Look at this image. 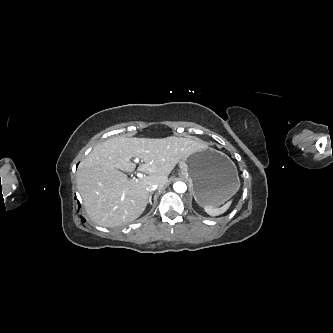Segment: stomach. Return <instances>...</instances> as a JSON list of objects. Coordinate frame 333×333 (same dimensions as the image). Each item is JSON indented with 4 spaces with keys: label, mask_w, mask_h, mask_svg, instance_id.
<instances>
[{
    "label": "stomach",
    "mask_w": 333,
    "mask_h": 333,
    "mask_svg": "<svg viewBox=\"0 0 333 333\" xmlns=\"http://www.w3.org/2000/svg\"><path fill=\"white\" fill-rule=\"evenodd\" d=\"M179 174L192 188L201 206L218 208L238 191V172L234 162L223 152L205 148L179 161Z\"/></svg>",
    "instance_id": "stomach-1"
}]
</instances>
